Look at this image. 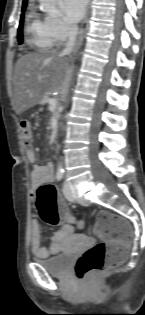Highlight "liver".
<instances>
[{
	"instance_id": "liver-1",
	"label": "liver",
	"mask_w": 145,
	"mask_h": 315,
	"mask_svg": "<svg viewBox=\"0 0 145 315\" xmlns=\"http://www.w3.org/2000/svg\"><path fill=\"white\" fill-rule=\"evenodd\" d=\"M69 70L68 59L54 50L27 53L16 62L12 107L17 115L40 103L46 93L61 90Z\"/></svg>"
}]
</instances>
